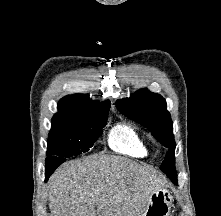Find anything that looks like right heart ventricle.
Listing matches in <instances>:
<instances>
[{
    "label": "right heart ventricle",
    "instance_id": "e07e8e85",
    "mask_svg": "<svg viewBox=\"0 0 221 216\" xmlns=\"http://www.w3.org/2000/svg\"><path fill=\"white\" fill-rule=\"evenodd\" d=\"M107 143L116 152L135 157L149 154V147L141 132L129 123L116 124L107 135Z\"/></svg>",
    "mask_w": 221,
    "mask_h": 216
}]
</instances>
